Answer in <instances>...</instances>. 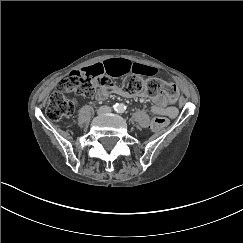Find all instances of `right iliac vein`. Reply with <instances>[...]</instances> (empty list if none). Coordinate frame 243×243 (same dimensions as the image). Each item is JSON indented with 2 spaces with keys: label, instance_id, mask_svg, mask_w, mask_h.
I'll return each mask as SVG.
<instances>
[{
  "label": "right iliac vein",
  "instance_id": "obj_1",
  "mask_svg": "<svg viewBox=\"0 0 243 243\" xmlns=\"http://www.w3.org/2000/svg\"><path fill=\"white\" fill-rule=\"evenodd\" d=\"M103 111L102 110H99V113H102Z\"/></svg>",
  "mask_w": 243,
  "mask_h": 243
}]
</instances>
